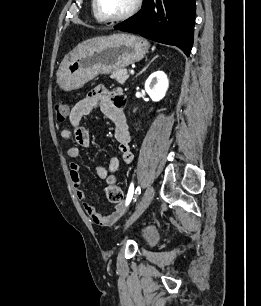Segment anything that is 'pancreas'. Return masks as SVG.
<instances>
[{"label":"pancreas","mask_w":261,"mask_h":306,"mask_svg":"<svg viewBox=\"0 0 261 306\" xmlns=\"http://www.w3.org/2000/svg\"><path fill=\"white\" fill-rule=\"evenodd\" d=\"M110 77L112 79H116L118 83L124 84L129 78V75L126 69H120V70L113 71Z\"/></svg>","instance_id":"pancreas-1"}]
</instances>
